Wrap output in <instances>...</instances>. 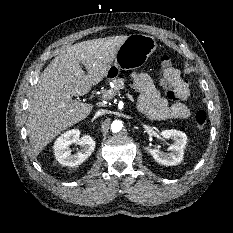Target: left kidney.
Wrapping results in <instances>:
<instances>
[{"mask_svg": "<svg viewBox=\"0 0 233 233\" xmlns=\"http://www.w3.org/2000/svg\"><path fill=\"white\" fill-rule=\"evenodd\" d=\"M161 136L166 139L173 140L169 146V152L165 153L156 148L144 146V149L153 157L158 163L166 166H174L183 160L184 149L187 143V136L182 131L168 129L162 130Z\"/></svg>", "mask_w": 233, "mask_h": 233, "instance_id": "obj_1", "label": "left kidney"}]
</instances>
